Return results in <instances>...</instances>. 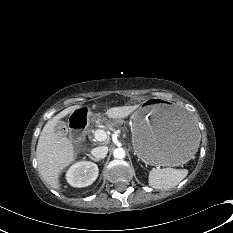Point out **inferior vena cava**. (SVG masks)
I'll return each mask as SVG.
<instances>
[{"label": "inferior vena cava", "instance_id": "inferior-vena-cava-1", "mask_svg": "<svg viewBox=\"0 0 233 233\" xmlns=\"http://www.w3.org/2000/svg\"><path fill=\"white\" fill-rule=\"evenodd\" d=\"M92 155L98 159H103L106 157L108 153V147L107 146H100L92 149L91 151Z\"/></svg>", "mask_w": 233, "mask_h": 233}]
</instances>
